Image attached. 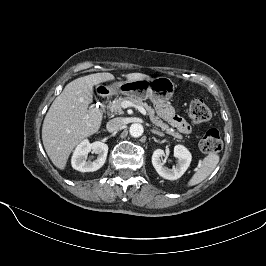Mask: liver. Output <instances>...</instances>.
<instances>
[{"mask_svg":"<svg viewBox=\"0 0 266 266\" xmlns=\"http://www.w3.org/2000/svg\"><path fill=\"white\" fill-rule=\"evenodd\" d=\"M127 81L150 78L142 73L125 75ZM111 73H95L77 78L67 84L49 108L42 126V141L52 163L64 170L70 153L83 139L95 134L103 113L89 108L93 101V87L112 81Z\"/></svg>","mask_w":266,"mask_h":266,"instance_id":"6515ba94","label":"liver"}]
</instances>
